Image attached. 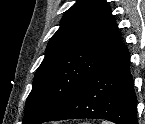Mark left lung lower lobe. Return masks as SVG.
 <instances>
[{"mask_svg": "<svg viewBox=\"0 0 145 124\" xmlns=\"http://www.w3.org/2000/svg\"><path fill=\"white\" fill-rule=\"evenodd\" d=\"M125 45L104 62L48 119L96 118L138 124L136 95Z\"/></svg>", "mask_w": 145, "mask_h": 124, "instance_id": "0a47b994", "label": "left lung lower lobe"}]
</instances>
